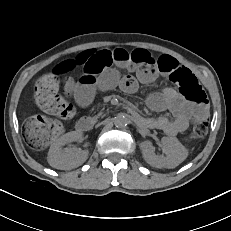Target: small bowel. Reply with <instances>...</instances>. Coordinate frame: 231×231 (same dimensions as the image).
Here are the masks:
<instances>
[{
	"mask_svg": "<svg viewBox=\"0 0 231 231\" xmlns=\"http://www.w3.org/2000/svg\"><path fill=\"white\" fill-rule=\"evenodd\" d=\"M138 50L141 53L135 59L130 58L132 51L117 48L86 50L62 61L60 64L67 72L77 68L82 70L78 81L68 79L66 88L73 93L79 105L86 106L92 101L97 90L107 91L118 86L123 91L131 93L137 89L139 83H151L159 75L171 78L176 71L184 70L191 73L170 56L155 59L148 51ZM125 71L134 74H122ZM147 104L155 111H170L173 118L137 116L139 121L147 127L159 129L169 135L183 132L191 123L206 119L208 116L206 103L191 100L172 88L151 94L147 98Z\"/></svg>",
	"mask_w": 231,
	"mask_h": 231,
	"instance_id": "small-bowel-1",
	"label": "small bowel"
}]
</instances>
